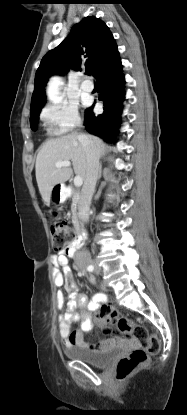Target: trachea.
Instances as JSON below:
<instances>
[{"mask_svg":"<svg viewBox=\"0 0 187 415\" xmlns=\"http://www.w3.org/2000/svg\"><path fill=\"white\" fill-rule=\"evenodd\" d=\"M86 74H87V75H90V72H89V71H87V72H86Z\"/></svg>","mask_w":187,"mask_h":415,"instance_id":"obj_1","label":"trachea"}]
</instances>
